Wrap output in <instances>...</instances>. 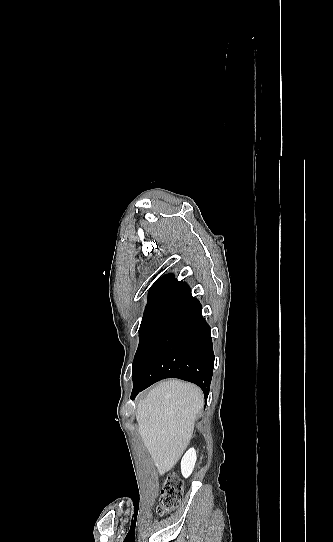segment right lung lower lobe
Masks as SVG:
<instances>
[{
	"instance_id": "1",
	"label": "right lung lower lobe",
	"mask_w": 333,
	"mask_h": 542,
	"mask_svg": "<svg viewBox=\"0 0 333 542\" xmlns=\"http://www.w3.org/2000/svg\"><path fill=\"white\" fill-rule=\"evenodd\" d=\"M211 329L185 282L151 312L132 366L131 398L165 378L198 385L207 399L214 367Z\"/></svg>"
}]
</instances>
